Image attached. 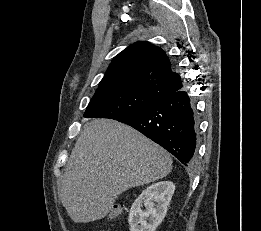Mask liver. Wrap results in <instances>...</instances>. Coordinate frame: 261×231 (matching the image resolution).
Segmentation results:
<instances>
[{"mask_svg":"<svg viewBox=\"0 0 261 231\" xmlns=\"http://www.w3.org/2000/svg\"><path fill=\"white\" fill-rule=\"evenodd\" d=\"M172 157L128 125L110 119L87 122L61 183V200L75 223L107 216L129 188L166 177Z\"/></svg>","mask_w":261,"mask_h":231,"instance_id":"6515ba94","label":"liver"}]
</instances>
